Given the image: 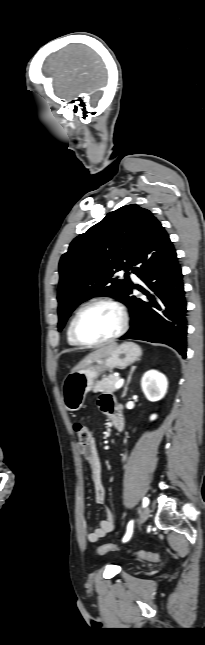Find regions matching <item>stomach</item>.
Segmentation results:
<instances>
[{"label":"stomach","mask_w":205,"mask_h":645,"mask_svg":"<svg viewBox=\"0 0 205 645\" xmlns=\"http://www.w3.org/2000/svg\"><path fill=\"white\" fill-rule=\"evenodd\" d=\"M142 352L138 345L125 342L117 346L110 354L83 369L71 372L63 381L62 394L64 404L69 411L82 408L86 394L92 389L95 379L102 371L127 367L139 360Z\"/></svg>","instance_id":"obj_1"}]
</instances>
